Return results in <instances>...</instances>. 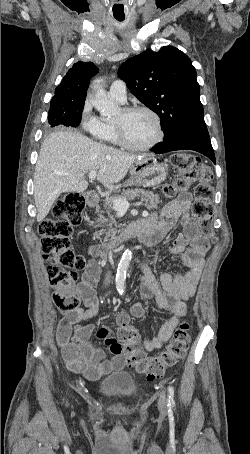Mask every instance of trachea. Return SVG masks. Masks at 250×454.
Returning <instances> with one entry per match:
<instances>
[{
  "instance_id": "1",
  "label": "trachea",
  "mask_w": 250,
  "mask_h": 454,
  "mask_svg": "<svg viewBox=\"0 0 250 454\" xmlns=\"http://www.w3.org/2000/svg\"><path fill=\"white\" fill-rule=\"evenodd\" d=\"M114 17H115V19H117L118 21H123L124 18H125L124 16H116V15H115Z\"/></svg>"
}]
</instances>
